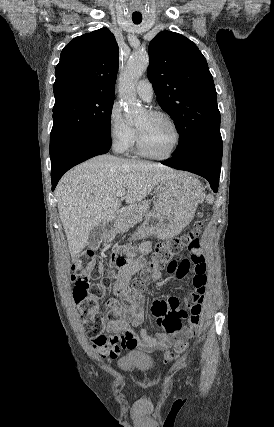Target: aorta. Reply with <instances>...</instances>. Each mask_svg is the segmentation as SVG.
I'll list each match as a JSON object with an SVG mask.
<instances>
[{
    "label": "aorta",
    "mask_w": 274,
    "mask_h": 427,
    "mask_svg": "<svg viewBox=\"0 0 274 427\" xmlns=\"http://www.w3.org/2000/svg\"><path fill=\"white\" fill-rule=\"evenodd\" d=\"M149 57L147 53L132 54L119 78V98L125 107L127 122H135L144 109L136 103L135 85L142 74L147 70Z\"/></svg>",
    "instance_id": "762f6f07"
}]
</instances>
